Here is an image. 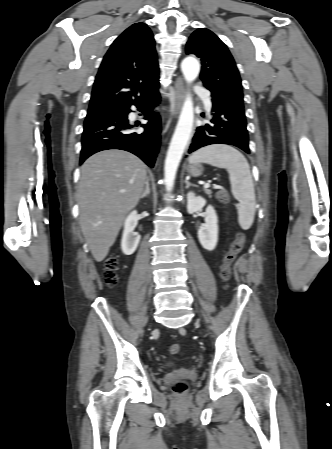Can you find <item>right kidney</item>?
I'll list each match as a JSON object with an SVG mask.
<instances>
[{"label":"right kidney","mask_w":332,"mask_h":449,"mask_svg":"<svg viewBox=\"0 0 332 449\" xmlns=\"http://www.w3.org/2000/svg\"><path fill=\"white\" fill-rule=\"evenodd\" d=\"M138 220L139 216L136 211H132L125 220L121 241V249L125 255L133 254L140 242V235L134 232Z\"/></svg>","instance_id":"ca27d5eb"}]
</instances>
